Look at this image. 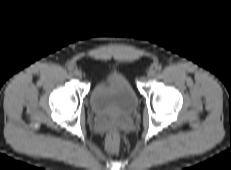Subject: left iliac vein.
<instances>
[{
    "label": "left iliac vein",
    "mask_w": 231,
    "mask_h": 170,
    "mask_svg": "<svg viewBox=\"0 0 231 170\" xmlns=\"http://www.w3.org/2000/svg\"><path fill=\"white\" fill-rule=\"evenodd\" d=\"M155 73H156L155 69L151 68L147 72V77L152 78L155 75Z\"/></svg>",
    "instance_id": "1"
}]
</instances>
